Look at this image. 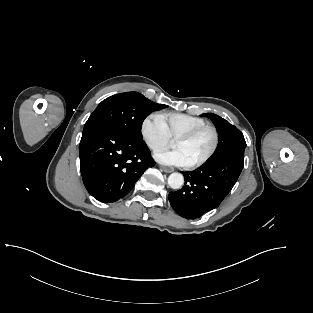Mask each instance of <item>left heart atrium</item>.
<instances>
[{
  "instance_id": "left-heart-atrium-1",
  "label": "left heart atrium",
  "mask_w": 313,
  "mask_h": 313,
  "mask_svg": "<svg viewBox=\"0 0 313 313\" xmlns=\"http://www.w3.org/2000/svg\"><path fill=\"white\" fill-rule=\"evenodd\" d=\"M155 159L169 166L185 167L191 164L186 154L179 148L158 152L155 154Z\"/></svg>"
}]
</instances>
